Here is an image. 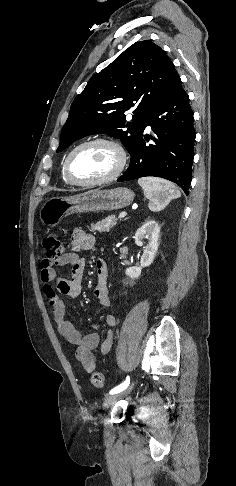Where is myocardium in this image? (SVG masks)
Returning a JSON list of instances; mask_svg holds the SVG:
<instances>
[{"label":"myocardium","mask_w":236,"mask_h":486,"mask_svg":"<svg viewBox=\"0 0 236 486\" xmlns=\"http://www.w3.org/2000/svg\"><path fill=\"white\" fill-rule=\"evenodd\" d=\"M94 144H104V145H108L111 148H113L118 155L117 166L109 175H107L105 177L95 179V180H90V181L78 180L71 173V169H70L71 160H72L73 156L80 149H82L86 146L94 145ZM126 164H127V153L120 143H118L115 140L108 139V138H95V139L85 141V142L77 145L75 148H73L71 150V152L68 154V156L66 157V159L64 161V175H65L66 179L69 181V183H71V184L78 185V186H97V185L109 183V182L114 181L117 178H119L121 176V174L123 173V171L126 167Z\"/></svg>","instance_id":"1"}]
</instances>
